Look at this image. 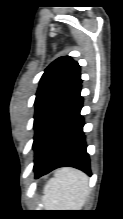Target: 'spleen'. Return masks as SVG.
I'll list each match as a JSON object with an SVG mask.
<instances>
[{
  "label": "spleen",
  "instance_id": "3e777b00",
  "mask_svg": "<svg viewBox=\"0 0 123 219\" xmlns=\"http://www.w3.org/2000/svg\"><path fill=\"white\" fill-rule=\"evenodd\" d=\"M88 197V177L73 168L55 172L44 188L45 210H81Z\"/></svg>",
  "mask_w": 123,
  "mask_h": 219
}]
</instances>
